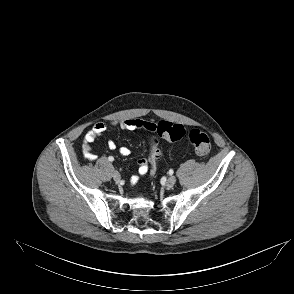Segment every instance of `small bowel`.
I'll list each match as a JSON object with an SVG mask.
<instances>
[{
  "instance_id": "1",
  "label": "small bowel",
  "mask_w": 294,
  "mask_h": 294,
  "mask_svg": "<svg viewBox=\"0 0 294 294\" xmlns=\"http://www.w3.org/2000/svg\"><path fill=\"white\" fill-rule=\"evenodd\" d=\"M146 123L144 121L141 120H135V119H127L124 121H120V122H112L111 125L113 126H118L123 130H137V129H143V124ZM108 128V125L106 123L103 122H99L96 123L85 135L84 137V141H83V146H82V150H83V154L85 156V158L89 159V160H95L96 159V155L93 153L92 151V143L99 137L101 136ZM108 148L110 150H114L116 149V143L113 140H109L108 143ZM119 153L124 156L127 157L130 155V149L122 146L119 148ZM138 172L140 175H145L149 168V162L146 158H142L138 161ZM138 176L134 175L131 178V184L134 185L138 182Z\"/></svg>"
}]
</instances>
